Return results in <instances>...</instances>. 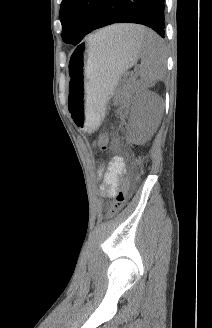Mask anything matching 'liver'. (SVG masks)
<instances>
[{
	"instance_id": "obj_1",
	"label": "liver",
	"mask_w": 212,
	"mask_h": 328,
	"mask_svg": "<svg viewBox=\"0 0 212 328\" xmlns=\"http://www.w3.org/2000/svg\"><path fill=\"white\" fill-rule=\"evenodd\" d=\"M134 29H135V25H126V24L112 25L98 31L92 36H95V40L98 41H109V40L129 41L135 38Z\"/></svg>"
}]
</instances>
